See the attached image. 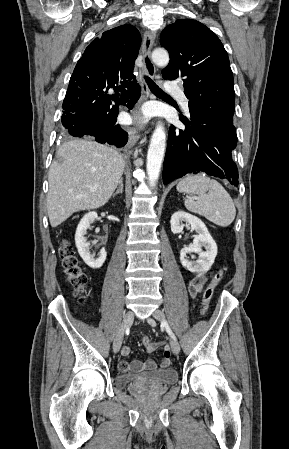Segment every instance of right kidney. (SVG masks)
I'll return each instance as SVG.
<instances>
[{
	"label": "right kidney",
	"instance_id": "right-kidney-1",
	"mask_svg": "<svg viewBox=\"0 0 289 449\" xmlns=\"http://www.w3.org/2000/svg\"><path fill=\"white\" fill-rule=\"evenodd\" d=\"M98 218L96 212H89L83 216L80 220L76 233H75V244L78 250L79 255L83 259V261L93 269H99L102 267L106 260V250L102 248L100 250L99 256L96 257L95 254L90 253V244L87 243V239L85 237L87 233V229L90 228V225Z\"/></svg>",
	"mask_w": 289,
	"mask_h": 449
}]
</instances>
